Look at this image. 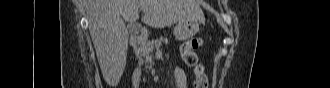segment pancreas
<instances>
[{
	"mask_svg": "<svg viewBox=\"0 0 330 88\" xmlns=\"http://www.w3.org/2000/svg\"><path fill=\"white\" fill-rule=\"evenodd\" d=\"M166 43H168V39L166 37H160L156 40L146 41L140 49V57L145 58L146 63H151L153 58V51Z\"/></svg>",
	"mask_w": 330,
	"mask_h": 88,
	"instance_id": "obj_1",
	"label": "pancreas"
}]
</instances>
